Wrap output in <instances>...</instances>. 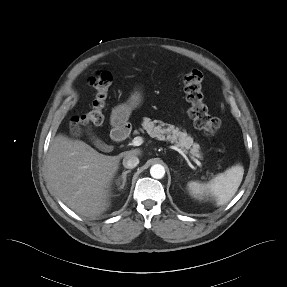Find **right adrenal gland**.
<instances>
[{
    "mask_svg": "<svg viewBox=\"0 0 287 287\" xmlns=\"http://www.w3.org/2000/svg\"><path fill=\"white\" fill-rule=\"evenodd\" d=\"M130 172H131V170L124 171V172L122 173L121 177H119V178L117 179V182H116L117 185H119V184H120V180H122V184L120 185L119 189H123V188H124L125 183H126V176H127V174L130 173Z\"/></svg>",
    "mask_w": 287,
    "mask_h": 287,
    "instance_id": "2a0ac1e0",
    "label": "right adrenal gland"
}]
</instances>
